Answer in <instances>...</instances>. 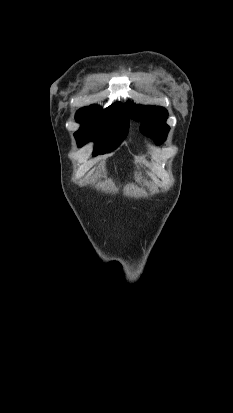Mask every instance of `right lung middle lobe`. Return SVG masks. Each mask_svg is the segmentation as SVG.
Listing matches in <instances>:
<instances>
[{"label":"right lung middle lobe","instance_id":"1","mask_svg":"<svg viewBox=\"0 0 233 413\" xmlns=\"http://www.w3.org/2000/svg\"><path fill=\"white\" fill-rule=\"evenodd\" d=\"M76 120L81 124L75 133L78 146L95 140L94 156L116 149L129 128L128 110L122 104H113L106 109L97 105L81 108L76 113Z\"/></svg>","mask_w":233,"mask_h":413}]
</instances>
